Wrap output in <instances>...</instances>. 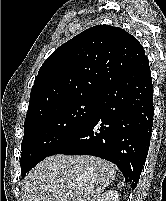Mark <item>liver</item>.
<instances>
[{"label": "liver", "instance_id": "6515ba94", "mask_svg": "<svg viewBox=\"0 0 166 201\" xmlns=\"http://www.w3.org/2000/svg\"><path fill=\"white\" fill-rule=\"evenodd\" d=\"M114 164L88 155L45 158L24 179L26 201H96L114 181Z\"/></svg>", "mask_w": 166, "mask_h": 201}]
</instances>
